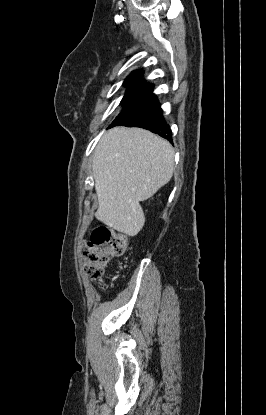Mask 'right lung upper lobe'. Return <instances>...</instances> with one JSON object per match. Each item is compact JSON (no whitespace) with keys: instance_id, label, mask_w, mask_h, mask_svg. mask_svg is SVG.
Masks as SVG:
<instances>
[{"instance_id":"right-lung-upper-lobe-1","label":"right lung upper lobe","mask_w":266,"mask_h":415,"mask_svg":"<svg viewBox=\"0 0 266 415\" xmlns=\"http://www.w3.org/2000/svg\"><path fill=\"white\" fill-rule=\"evenodd\" d=\"M141 76V71H135L126 78L124 85L128 87L127 93L151 95L153 92V85L147 84L144 80H141Z\"/></svg>"}]
</instances>
